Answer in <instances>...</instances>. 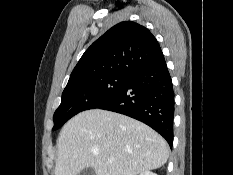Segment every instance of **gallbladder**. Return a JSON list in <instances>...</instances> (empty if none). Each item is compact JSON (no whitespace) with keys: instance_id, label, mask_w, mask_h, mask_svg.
<instances>
[{"instance_id":"bac80fb5","label":"gallbladder","mask_w":233,"mask_h":175,"mask_svg":"<svg viewBox=\"0 0 233 175\" xmlns=\"http://www.w3.org/2000/svg\"><path fill=\"white\" fill-rule=\"evenodd\" d=\"M79 175H96L95 170L92 167L85 168Z\"/></svg>"}]
</instances>
